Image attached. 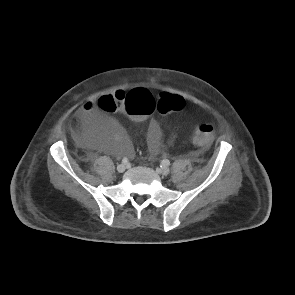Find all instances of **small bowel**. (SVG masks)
I'll list each match as a JSON object with an SVG mask.
<instances>
[{
  "mask_svg": "<svg viewBox=\"0 0 295 295\" xmlns=\"http://www.w3.org/2000/svg\"><path fill=\"white\" fill-rule=\"evenodd\" d=\"M76 118L88 139L96 141V138L101 133L108 131L112 134L117 143L116 146L112 148V151L120 152L128 157L134 155L133 148L126 141L116 123L113 120L104 117L101 110L93 103H85L78 111ZM147 139L151 153L153 155L158 154L162 148L161 133L154 120H151L149 123ZM96 145L98 148H105L106 146L102 141L98 142Z\"/></svg>",
  "mask_w": 295,
  "mask_h": 295,
  "instance_id": "c3829d8e",
  "label": "small bowel"
}]
</instances>
